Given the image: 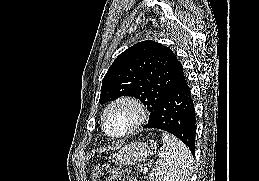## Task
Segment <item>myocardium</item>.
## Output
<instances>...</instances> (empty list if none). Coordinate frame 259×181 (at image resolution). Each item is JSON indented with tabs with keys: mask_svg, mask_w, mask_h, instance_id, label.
<instances>
[{
	"mask_svg": "<svg viewBox=\"0 0 259 181\" xmlns=\"http://www.w3.org/2000/svg\"><path fill=\"white\" fill-rule=\"evenodd\" d=\"M119 106L130 107L134 112V120L131 126L127 128L125 131L118 134H112L107 129L106 120H107L108 114L113 109ZM146 120H147V112L143 103L139 99L133 96H121L112 100L104 109L101 115V127L107 136L112 138H123L137 131L145 123Z\"/></svg>",
	"mask_w": 259,
	"mask_h": 181,
	"instance_id": "obj_1",
	"label": "myocardium"
}]
</instances>
